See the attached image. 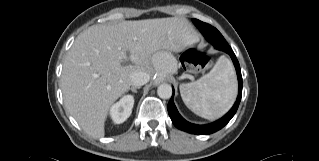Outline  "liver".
Wrapping results in <instances>:
<instances>
[{
  "mask_svg": "<svg viewBox=\"0 0 319 161\" xmlns=\"http://www.w3.org/2000/svg\"><path fill=\"white\" fill-rule=\"evenodd\" d=\"M198 39L180 17L89 27L77 36L63 63L61 89L67 111L86 133L103 137L111 105L130 89V74L152 75L155 52H179ZM127 52L131 64H125Z\"/></svg>",
  "mask_w": 319,
  "mask_h": 161,
  "instance_id": "6515ba94",
  "label": "liver"
}]
</instances>
